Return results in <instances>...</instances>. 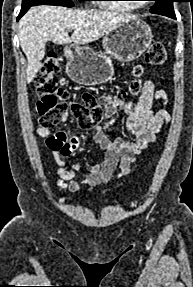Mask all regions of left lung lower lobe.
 I'll use <instances>...</instances> for the list:
<instances>
[{
  "instance_id": "0a47b994",
  "label": "left lung lower lobe",
  "mask_w": 193,
  "mask_h": 287,
  "mask_svg": "<svg viewBox=\"0 0 193 287\" xmlns=\"http://www.w3.org/2000/svg\"><path fill=\"white\" fill-rule=\"evenodd\" d=\"M169 17H171V18H176L175 14H174V15H171V16H169Z\"/></svg>"
}]
</instances>
